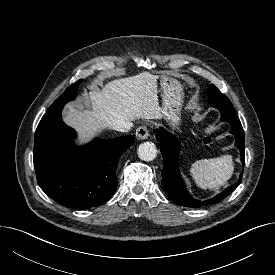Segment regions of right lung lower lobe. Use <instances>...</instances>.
I'll use <instances>...</instances> for the list:
<instances>
[{"label": "right lung lower lobe", "mask_w": 275, "mask_h": 275, "mask_svg": "<svg viewBox=\"0 0 275 275\" xmlns=\"http://www.w3.org/2000/svg\"><path fill=\"white\" fill-rule=\"evenodd\" d=\"M61 111L46 112L37 126L33 152L37 182L47 196L65 207L99 206L113 195L119 158L134 137L95 138L76 148V132L63 122Z\"/></svg>", "instance_id": "obj_1"}]
</instances>
